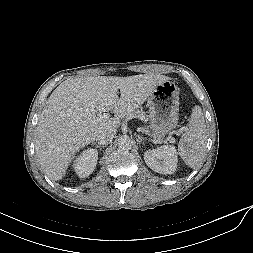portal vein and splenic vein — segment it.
Listing matches in <instances>:
<instances>
[{
    "label": "portal vein and splenic vein",
    "mask_w": 253,
    "mask_h": 253,
    "mask_svg": "<svg viewBox=\"0 0 253 253\" xmlns=\"http://www.w3.org/2000/svg\"><path fill=\"white\" fill-rule=\"evenodd\" d=\"M108 118H109V115L107 113H103V114L98 115L97 120L101 121V120L108 119ZM170 141L174 142L175 139L172 137V138H170Z\"/></svg>",
    "instance_id": "portal-vein-and-splenic-vein-1"
}]
</instances>
